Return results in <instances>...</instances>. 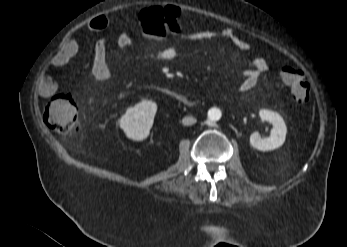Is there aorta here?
<instances>
[{"label":"aorta","mask_w":347,"mask_h":247,"mask_svg":"<svg viewBox=\"0 0 347 247\" xmlns=\"http://www.w3.org/2000/svg\"><path fill=\"white\" fill-rule=\"evenodd\" d=\"M221 118V111L218 108H211L208 111L209 122H216Z\"/></svg>","instance_id":"762f6f07"}]
</instances>
